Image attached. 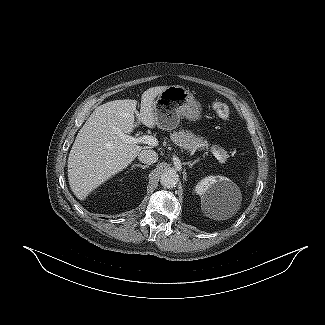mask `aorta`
Here are the masks:
<instances>
[{"label": "aorta", "mask_w": 325, "mask_h": 325, "mask_svg": "<svg viewBox=\"0 0 325 325\" xmlns=\"http://www.w3.org/2000/svg\"><path fill=\"white\" fill-rule=\"evenodd\" d=\"M179 181V176L174 170H168L162 173L160 183L166 188H173Z\"/></svg>", "instance_id": "aorta-1"}]
</instances>
